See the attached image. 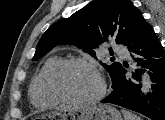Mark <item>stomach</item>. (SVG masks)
<instances>
[{"label":"stomach","mask_w":165,"mask_h":120,"mask_svg":"<svg viewBox=\"0 0 165 120\" xmlns=\"http://www.w3.org/2000/svg\"><path fill=\"white\" fill-rule=\"evenodd\" d=\"M53 119L56 117L62 120H122L119 111L106 104H84L69 110L49 112L36 117L35 119Z\"/></svg>","instance_id":"stomach-1"}]
</instances>
